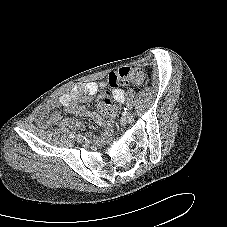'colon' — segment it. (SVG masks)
I'll return each instance as SVG.
<instances>
[{"label":"colon","instance_id":"5ec220e1","mask_svg":"<svg viewBox=\"0 0 227 227\" xmlns=\"http://www.w3.org/2000/svg\"><path fill=\"white\" fill-rule=\"evenodd\" d=\"M148 75L141 68L123 67L113 71L108 76V85L112 90H117L120 86L134 84L138 86L146 85ZM97 106L102 113L108 111L112 106L111 93L109 91L101 92L97 97Z\"/></svg>","mask_w":227,"mask_h":227}]
</instances>
